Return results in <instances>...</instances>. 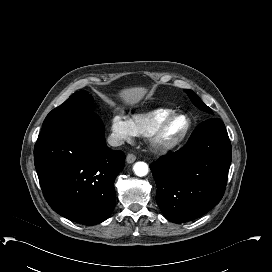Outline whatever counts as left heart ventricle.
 I'll return each mask as SVG.
<instances>
[{
    "instance_id": "b2bd125f",
    "label": "left heart ventricle",
    "mask_w": 272,
    "mask_h": 272,
    "mask_svg": "<svg viewBox=\"0 0 272 272\" xmlns=\"http://www.w3.org/2000/svg\"><path fill=\"white\" fill-rule=\"evenodd\" d=\"M186 127V120L183 117L174 119L168 126L167 130L163 135L164 141H173L179 137Z\"/></svg>"
}]
</instances>
